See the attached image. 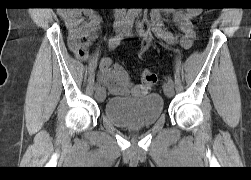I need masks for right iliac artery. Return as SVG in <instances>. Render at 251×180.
<instances>
[{
	"instance_id": "obj_1",
	"label": "right iliac artery",
	"mask_w": 251,
	"mask_h": 180,
	"mask_svg": "<svg viewBox=\"0 0 251 180\" xmlns=\"http://www.w3.org/2000/svg\"><path fill=\"white\" fill-rule=\"evenodd\" d=\"M136 13L135 12H129L125 19V26L121 33L115 35L114 37H111L108 42L109 49H115L123 39L126 32L130 31L133 27L134 21H135ZM100 87V83L95 84V89H98Z\"/></svg>"
}]
</instances>
